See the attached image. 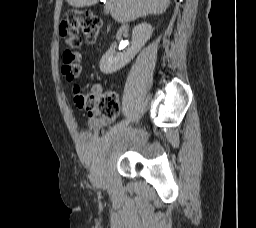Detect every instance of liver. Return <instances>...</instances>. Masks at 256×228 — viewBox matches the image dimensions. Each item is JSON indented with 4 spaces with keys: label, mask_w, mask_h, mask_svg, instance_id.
<instances>
[{
    "label": "liver",
    "mask_w": 256,
    "mask_h": 228,
    "mask_svg": "<svg viewBox=\"0 0 256 228\" xmlns=\"http://www.w3.org/2000/svg\"><path fill=\"white\" fill-rule=\"evenodd\" d=\"M73 7L91 6L98 0H66ZM170 0H110L104 13L110 14L119 23L134 21L147 15H159L166 11Z\"/></svg>",
    "instance_id": "liver-1"
}]
</instances>
